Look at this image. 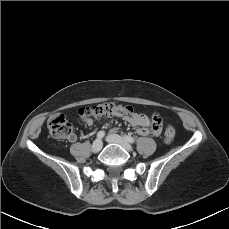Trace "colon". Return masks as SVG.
I'll return each instance as SVG.
<instances>
[{
    "label": "colon",
    "mask_w": 229,
    "mask_h": 229,
    "mask_svg": "<svg viewBox=\"0 0 229 229\" xmlns=\"http://www.w3.org/2000/svg\"><path fill=\"white\" fill-rule=\"evenodd\" d=\"M134 108L131 105H122L117 103H101L79 109V115L84 118H100L102 116H110L115 114H131ZM152 124L158 126L162 122V117L155 112L151 115ZM47 127L49 134L54 139H67L72 136V125L66 116L61 112L52 114L48 121ZM175 137V130L169 127L165 130L164 139L166 142H171Z\"/></svg>",
    "instance_id": "1"
}]
</instances>
